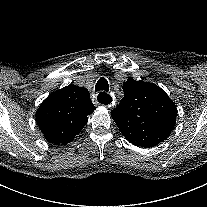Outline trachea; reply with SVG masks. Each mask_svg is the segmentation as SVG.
Masks as SVG:
<instances>
[{"label": "trachea", "instance_id": "obj_1", "mask_svg": "<svg viewBox=\"0 0 207 207\" xmlns=\"http://www.w3.org/2000/svg\"><path fill=\"white\" fill-rule=\"evenodd\" d=\"M99 90H104V91H108L109 90V85L108 82L105 78H101L98 80V82L96 83L95 86V91H99ZM98 101L101 104H110L112 101V98L109 95H105L104 92L100 93V95L98 96Z\"/></svg>", "mask_w": 207, "mask_h": 207}]
</instances>
